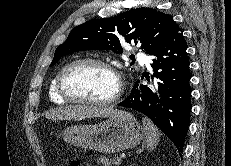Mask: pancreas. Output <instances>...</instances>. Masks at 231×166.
Segmentation results:
<instances>
[{
    "instance_id": "1",
    "label": "pancreas",
    "mask_w": 231,
    "mask_h": 166,
    "mask_svg": "<svg viewBox=\"0 0 231 166\" xmlns=\"http://www.w3.org/2000/svg\"><path fill=\"white\" fill-rule=\"evenodd\" d=\"M98 163H101L103 166H111L112 164L118 166L120 161H117V158L111 159L110 157L100 156L97 160Z\"/></svg>"
}]
</instances>
